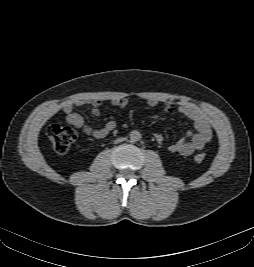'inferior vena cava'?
<instances>
[{"label":"inferior vena cava","mask_w":254,"mask_h":267,"mask_svg":"<svg viewBox=\"0 0 254 267\" xmlns=\"http://www.w3.org/2000/svg\"><path fill=\"white\" fill-rule=\"evenodd\" d=\"M124 140V138H118V139H116L114 142L115 143H119V142H121V141H123Z\"/></svg>","instance_id":"obj_1"}]
</instances>
